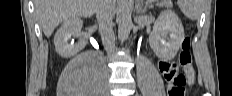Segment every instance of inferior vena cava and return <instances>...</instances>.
<instances>
[{"label":"inferior vena cava","instance_id":"obj_1","mask_svg":"<svg viewBox=\"0 0 232 96\" xmlns=\"http://www.w3.org/2000/svg\"><path fill=\"white\" fill-rule=\"evenodd\" d=\"M115 0H98L96 17L99 23V32L106 51L111 54L115 49V37L112 19L115 14Z\"/></svg>","mask_w":232,"mask_h":96}]
</instances>
